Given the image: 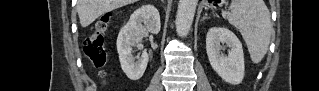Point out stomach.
Here are the masks:
<instances>
[{"mask_svg":"<svg viewBox=\"0 0 319 91\" xmlns=\"http://www.w3.org/2000/svg\"><path fill=\"white\" fill-rule=\"evenodd\" d=\"M216 2H217V3H221V4L223 3V1H222V0H218V1H216ZM218 5H219V4H218Z\"/></svg>","mask_w":319,"mask_h":91,"instance_id":"0dacf381","label":"stomach"}]
</instances>
